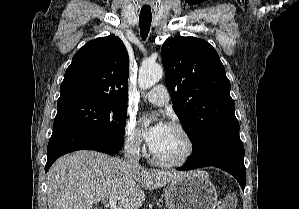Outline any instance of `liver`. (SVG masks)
Returning <instances> with one entry per match:
<instances>
[{
  "label": "liver",
  "mask_w": 299,
  "mask_h": 209,
  "mask_svg": "<svg viewBox=\"0 0 299 209\" xmlns=\"http://www.w3.org/2000/svg\"><path fill=\"white\" fill-rule=\"evenodd\" d=\"M176 170L135 167L96 151H77L59 158L47 174L49 209H92L118 196L123 209H139L145 189L165 186L183 176Z\"/></svg>",
  "instance_id": "obj_1"
}]
</instances>
